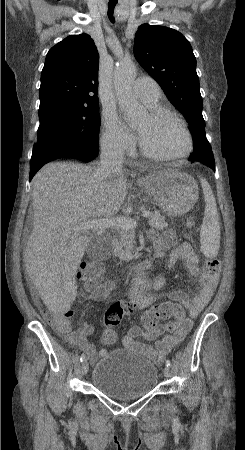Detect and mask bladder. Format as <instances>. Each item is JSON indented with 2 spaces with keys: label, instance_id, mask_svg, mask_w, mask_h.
I'll return each instance as SVG.
<instances>
[{
  "label": "bladder",
  "instance_id": "31cf9c89",
  "mask_svg": "<svg viewBox=\"0 0 245 450\" xmlns=\"http://www.w3.org/2000/svg\"><path fill=\"white\" fill-rule=\"evenodd\" d=\"M160 373L144 354L127 348H115L94 361L90 384L105 396L129 400L152 391Z\"/></svg>",
  "mask_w": 245,
  "mask_h": 450
}]
</instances>
